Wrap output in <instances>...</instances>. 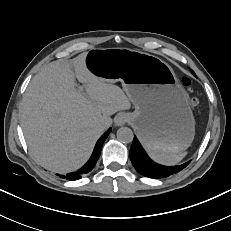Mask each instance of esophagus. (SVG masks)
<instances>
[{"label": "esophagus", "instance_id": "1", "mask_svg": "<svg viewBox=\"0 0 231 231\" xmlns=\"http://www.w3.org/2000/svg\"><path fill=\"white\" fill-rule=\"evenodd\" d=\"M128 121V116L124 113H121V114H118L116 117H115V125L116 126H122L124 125L126 122Z\"/></svg>", "mask_w": 231, "mask_h": 231}]
</instances>
